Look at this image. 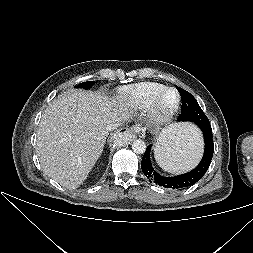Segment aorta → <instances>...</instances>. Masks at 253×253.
Wrapping results in <instances>:
<instances>
[{
    "label": "aorta",
    "mask_w": 253,
    "mask_h": 253,
    "mask_svg": "<svg viewBox=\"0 0 253 253\" xmlns=\"http://www.w3.org/2000/svg\"><path fill=\"white\" fill-rule=\"evenodd\" d=\"M132 149L136 154H143L146 150V143L143 140H135Z\"/></svg>",
    "instance_id": "762f6f07"
}]
</instances>
